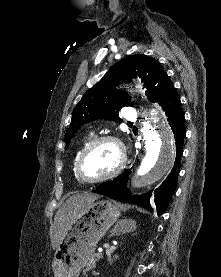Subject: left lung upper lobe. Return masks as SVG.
<instances>
[{"instance_id": "left-lung-upper-lobe-1", "label": "left lung upper lobe", "mask_w": 221, "mask_h": 277, "mask_svg": "<svg viewBox=\"0 0 221 277\" xmlns=\"http://www.w3.org/2000/svg\"><path fill=\"white\" fill-rule=\"evenodd\" d=\"M139 76L147 88L151 102H162L174 87L159 62L143 54L129 56L117 63L97 84L90 88L73 110L70 127L65 134L66 148L75 132L85 123L94 119H108L121 122L119 110L133 106L128 95L117 90L115 85L130 82Z\"/></svg>"}]
</instances>
